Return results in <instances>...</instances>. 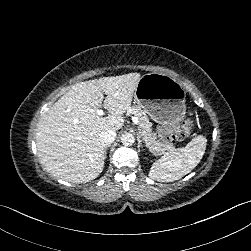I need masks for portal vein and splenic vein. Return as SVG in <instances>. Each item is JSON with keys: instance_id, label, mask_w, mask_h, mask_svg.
Segmentation results:
<instances>
[{"instance_id": "obj_1", "label": "portal vein and splenic vein", "mask_w": 251, "mask_h": 251, "mask_svg": "<svg viewBox=\"0 0 251 251\" xmlns=\"http://www.w3.org/2000/svg\"><path fill=\"white\" fill-rule=\"evenodd\" d=\"M97 114H98L99 116H103V115H104V111L101 110V109H98V110H97ZM132 121H133V123L137 124V123H138V118H137V117H132Z\"/></svg>"}]
</instances>
